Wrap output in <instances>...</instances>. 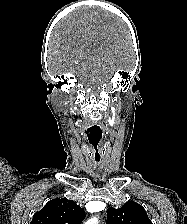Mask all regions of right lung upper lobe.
<instances>
[{
  "label": "right lung upper lobe",
  "mask_w": 187,
  "mask_h": 224,
  "mask_svg": "<svg viewBox=\"0 0 187 224\" xmlns=\"http://www.w3.org/2000/svg\"><path fill=\"white\" fill-rule=\"evenodd\" d=\"M85 211L66 198L52 199L37 211L30 224H81Z\"/></svg>",
  "instance_id": "right-lung-upper-lobe-1"
}]
</instances>
